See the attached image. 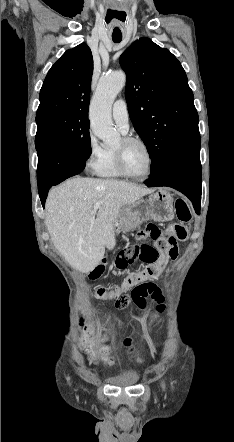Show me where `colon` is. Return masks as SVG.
Returning <instances> with one entry per match:
<instances>
[{"mask_svg": "<svg viewBox=\"0 0 234 442\" xmlns=\"http://www.w3.org/2000/svg\"><path fill=\"white\" fill-rule=\"evenodd\" d=\"M176 215L179 223L169 226L165 230L158 229L155 225L149 224L140 234L147 235L154 240V245L142 243L130 246L122 250L115 260V268L124 270L136 260H141L148 264L143 270L131 274L120 286L112 290L100 288L96 291V297L99 300H113L115 307L125 308L130 304L137 307L145 306V298L151 294L152 298L157 301V309H163V298L159 290L147 289L145 281L157 278L163 266L157 263V259L162 254L170 253L177 241H185L188 237V227L192 219L191 210L182 198H178L175 203ZM102 271V265L98 266L92 273L93 277L98 276ZM131 290L130 294L127 292ZM105 348H101L97 355H105Z\"/></svg>", "mask_w": 234, "mask_h": 442, "instance_id": "5ec220e1", "label": "colon"}]
</instances>
